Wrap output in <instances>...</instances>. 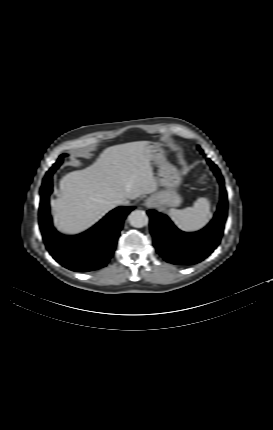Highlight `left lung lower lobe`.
<instances>
[{
	"mask_svg": "<svg viewBox=\"0 0 273 430\" xmlns=\"http://www.w3.org/2000/svg\"><path fill=\"white\" fill-rule=\"evenodd\" d=\"M220 183V204L213 220L202 230L186 233L164 214L149 210L150 228L157 252L169 263L192 265L201 262L218 246L227 218V193L217 166L207 159Z\"/></svg>",
	"mask_w": 273,
	"mask_h": 430,
	"instance_id": "1",
	"label": "left lung lower lobe"
}]
</instances>
